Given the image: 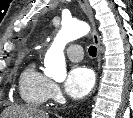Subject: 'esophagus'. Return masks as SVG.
Masks as SVG:
<instances>
[{"label": "esophagus", "instance_id": "obj_1", "mask_svg": "<svg viewBox=\"0 0 133 118\" xmlns=\"http://www.w3.org/2000/svg\"><path fill=\"white\" fill-rule=\"evenodd\" d=\"M78 3L90 20L91 27H92V39L97 48V61L100 66L101 60H102V48H101L100 38H99L98 32L95 27L92 10H91L87 0H78Z\"/></svg>", "mask_w": 133, "mask_h": 118}]
</instances>
